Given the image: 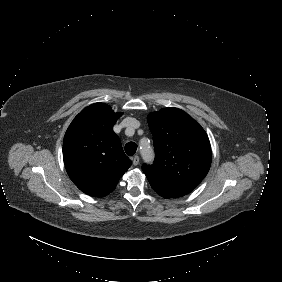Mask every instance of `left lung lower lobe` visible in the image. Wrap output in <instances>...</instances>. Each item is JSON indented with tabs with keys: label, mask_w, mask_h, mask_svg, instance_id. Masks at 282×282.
<instances>
[{
	"label": "left lung lower lobe",
	"mask_w": 282,
	"mask_h": 282,
	"mask_svg": "<svg viewBox=\"0 0 282 282\" xmlns=\"http://www.w3.org/2000/svg\"><path fill=\"white\" fill-rule=\"evenodd\" d=\"M154 191L165 198H178L190 193L193 189L176 185H159L154 179L147 177Z\"/></svg>",
	"instance_id": "obj_1"
}]
</instances>
